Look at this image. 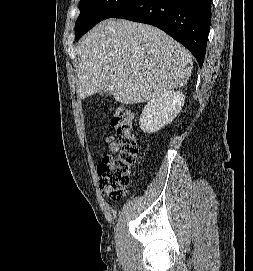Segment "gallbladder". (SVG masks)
Segmentation results:
<instances>
[{
  "label": "gallbladder",
  "instance_id": "obj_1",
  "mask_svg": "<svg viewBox=\"0 0 253 271\" xmlns=\"http://www.w3.org/2000/svg\"><path fill=\"white\" fill-rule=\"evenodd\" d=\"M98 94L101 96V97H109L111 96V93L109 90L105 89V88H101L99 91H98Z\"/></svg>",
  "mask_w": 253,
  "mask_h": 271
}]
</instances>
